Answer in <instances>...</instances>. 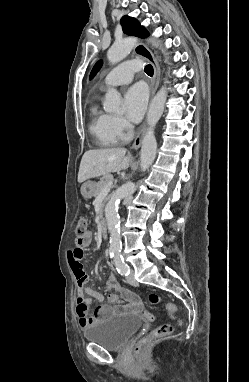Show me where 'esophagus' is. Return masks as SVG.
<instances>
[{"label": "esophagus", "mask_w": 249, "mask_h": 382, "mask_svg": "<svg viewBox=\"0 0 249 382\" xmlns=\"http://www.w3.org/2000/svg\"><path fill=\"white\" fill-rule=\"evenodd\" d=\"M134 52L145 58L148 62H150V64L153 66V69H154V75L151 79V83H150V90H151V97H153V95L155 94L157 88H158V85H159V81H160V66H159V63L156 59V57L154 56V54L151 52V50L143 43L139 42L136 44V46L134 47ZM145 129H146V122L141 126L133 144H132V149L133 150H138L141 146V142H142V138H143V135H144V132H145Z\"/></svg>", "instance_id": "1"}]
</instances>
